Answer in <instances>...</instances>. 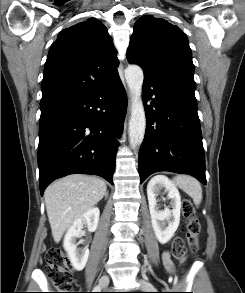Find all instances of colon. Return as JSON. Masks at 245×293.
I'll use <instances>...</instances> for the list:
<instances>
[{"label": "colon", "mask_w": 245, "mask_h": 293, "mask_svg": "<svg viewBox=\"0 0 245 293\" xmlns=\"http://www.w3.org/2000/svg\"><path fill=\"white\" fill-rule=\"evenodd\" d=\"M181 207L186 221V240L191 251L196 252L199 246L201 225L189 200H184ZM172 251L178 260L184 259L186 248L183 237L178 236L173 240ZM46 271L53 284L60 289H67L73 283V273L63 249L52 248L48 250L46 254Z\"/></svg>", "instance_id": "obj_1"}]
</instances>
